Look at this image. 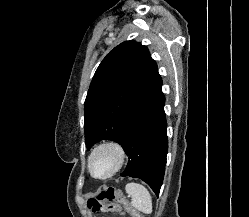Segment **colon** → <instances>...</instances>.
I'll return each instance as SVG.
<instances>
[{"instance_id": "1", "label": "colon", "mask_w": 249, "mask_h": 217, "mask_svg": "<svg viewBox=\"0 0 249 217\" xmlns=\"http://www.w3.org/2000/svg\"><path fill=\"white\" fill-rule=\"evenodd\" d=\"M88 206L94 212H116L121 215L128 213L131 217H143L129 204L123 193L114 187L102 189L89 199Z\"/></svg>"}]
</instances>
